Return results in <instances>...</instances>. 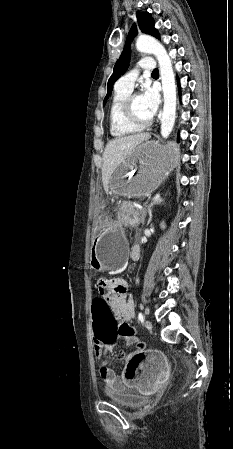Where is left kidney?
<instances>
[{"label": "left kidney", "mask_w": 233, "mask_h": 449, "mask_svg": "<svg viewBox=\"0 0 233 449\" xmlns=\"http://www.w3.org/2000/svg\"><path fill=\"white\" fill-rule=\"evenodd\" d=\"M161 228H165V225H164V223H161Z\"/></svg>", "instance_id": "left-kidney-1"}]
</instances>
